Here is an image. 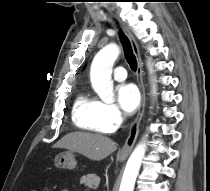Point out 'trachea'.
<instances>
[{"label": "trachea", "instance_id": "trachea-1", "mask_svg": "<svg viewBox=\"0 0 210 191\" xmlns=\"http://www.w3.org/2000/svg\"><path fill=\"white\" fill-rule=\"evenodd\" d=\"M120 40H121L123 48H124L125 58L129 64L130 68L133 71H135L137 69V60H136L135 55L133 54L132 46H131L129 39L122 31H120Z\"/></svg>", "mask_w": 210, "mask_h": 191}]
</instances>
